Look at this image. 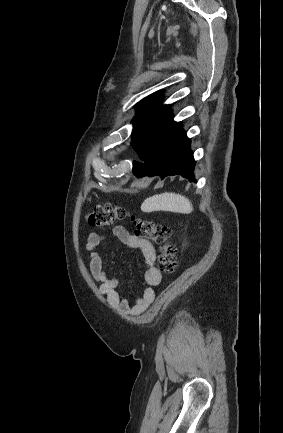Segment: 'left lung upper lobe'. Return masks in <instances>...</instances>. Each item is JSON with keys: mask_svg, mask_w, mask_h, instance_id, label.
<instances>
[{"mask_svg": "<svg viewBox=\"0 0 283 433\" xmlns=\"http://www.w3.org/2000/svg\"><path fill=\"white\" fill-rule=\"evenodd\" d=\"M160 95L159 92L154 93L136 105L141 110L137 112V116L133 120L134 129L131 144L138 155L140 154V149L154 130L168 127L173 132H176L181 128L180 123L172 121L170 106L159 105L158 97Z\"/></svg>", "mask_w": 283, "mask_h": 433, "instance_id": "obj_1", "label": "left lung upper lobe"}]
</instances>
